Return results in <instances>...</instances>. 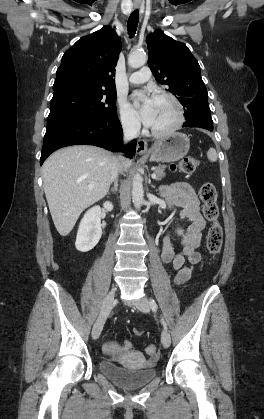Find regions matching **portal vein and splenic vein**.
<instances>
[{"label": "portal vein and splenic vein", "instance_id": "1", "mask_svg": "<svg viewBox=\"0 0 264 419\" xmlns=\"http://www.w3.org/2000/svg\"><path fill=\"white\" fill-rule=\"evenodd\" d=\"M156 177H157V176H156V174H155V173H153V174H152V178H153V179H156ZM92 187H93L92 185H89V188H92Z\"/></svg>", "mask_w": 264, "mask_h": 419}]
</instances>
